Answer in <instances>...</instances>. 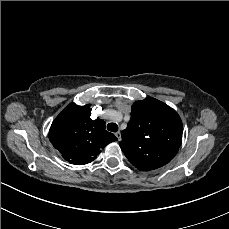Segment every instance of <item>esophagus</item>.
I'll list each match as a JSON object with an SVG mask.
<instances>
[{
	"instance_id": "1",
	"label": "esophagus",
	"mask_w": 229,
	"mask_h": 229,
	"mask_svg": "<svg viewBox=\"0 0 229 229\" xmlns=\"http://www.w3.org/2000/svg\"><path fill=\"white\" fill-rule=\"evenodd\" d=\"M115 136L117 137L118 141L121 140V133H120V131L116 132L115 133Z\"/></svg>"
}]
</instances>
